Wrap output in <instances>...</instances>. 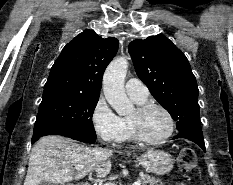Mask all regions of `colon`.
I'll list each match as a JSON object with an SVG mask.
<instances>
[{
    "instance_id": "5ec220e1",
    "label": "colon",
    "mask_w": 233,
    "mask_h": 185,
    "mask_svg": "<svg viewBox=\"0 0 233 185\" xmlns=\"http://www.w3.org/2000/svg\"><path fill=\"white\" fill-rule=\"evenodd\" d=\"M196 162L195 151L190 147H183L178 155V168L182 173H187L194 168Z\"/></svg>"
}]
</instances>
